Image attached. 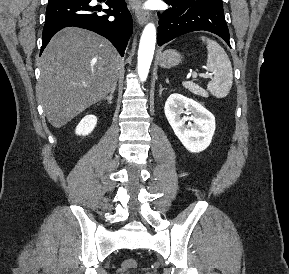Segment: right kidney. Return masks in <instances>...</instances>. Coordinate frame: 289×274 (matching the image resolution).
<instances>
[{"label": "right kidney", "instance_id": "ca27d5eb", "mask_svg": "<svg viewBox=\"0 0 289 274\" xmlns=\"http://www.w3.org/2000/svg\"><path fill=\"white\" fill-rule=\"evenodd\" d=\"M97 124V117L95 115H86L77 125L75 133L77 135L86 136L90 134Z\"/></svg>", "mask_w": 289, "mask_h": 274}]
</instances>
